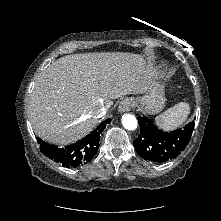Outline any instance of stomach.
Here are the masks:
<instances>
[{"label": "stomach", "mask_w": 221, "mask_h": 221, "mask_svg": "<svg viewBox=\"0 0 221 221\" xmlns=\"http://www.w3.org/2000/svg\"><path fill=\"white\" fill-rule=\"evenodd\" d=\"M138 102L141 104L144 112L148 114L159 113L165 105L163 86L156 84L154 87H151Z\"/></svg>", "instance_id": "obj_1"}]
</instances>
